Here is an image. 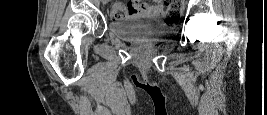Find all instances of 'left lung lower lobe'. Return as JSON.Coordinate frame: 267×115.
<instances>
[{
	"label": "left lung lower lobe",
	"mask_w": 267,
	"mask_h": 115,
	"mask_svg": "<svg viewBox=\"0 0 267 115\" xmlns=\"http://www.w3.org/2000/svg\"><path fill=\"white\" fill-rule=\"evenodd\" d=\"M138 87H142L143 88V86H139V85H137ZM154 90H158V88H153Z\"/></svg>",
	"instance_id": "left-lung-lower-lobe-1"
}]
</instances>
